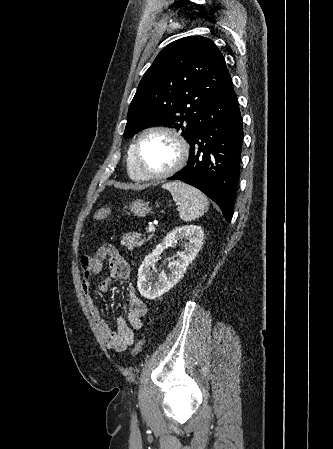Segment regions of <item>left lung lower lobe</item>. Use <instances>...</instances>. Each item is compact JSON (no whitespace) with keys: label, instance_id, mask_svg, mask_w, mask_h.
Here are the masks:
<instances>
[{"label":"left lung lower lobe","instance_id":"0a47b994","mask_svg":"<svg viewBox=\"0 0 333 449\" xmlns=\"http://www.w3.org/2000/svg\"><path fill=\"white\" fill-rule=\"evenodd\" d=\"M243 141L242 118L232 79L212 97L190 141L187 166L170 177L190 184L233 215Z\"/></svg>","mask_w":333,"mask_h":449}]
</instances>
